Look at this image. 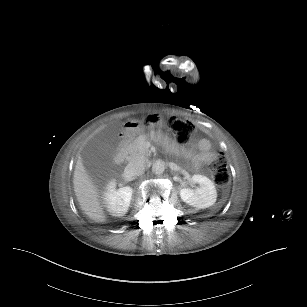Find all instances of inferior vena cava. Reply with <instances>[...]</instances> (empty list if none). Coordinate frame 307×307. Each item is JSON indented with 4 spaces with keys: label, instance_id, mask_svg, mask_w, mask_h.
Wrapping results in <instances>:
<instances>
[{
    "label": "inferior vena cava",
    "instance_id": "602c4592",
    "mask_svg": "<svg viewBox=\"0 0 307 307\" xmlns=\"http://www.w3.org/2000/svg\"><path fill=\"white\" fill-rule=\"evenodd\" d=\"M145 170V160L140 157H134L131 159L126 168H125V174L128 176H141L144 173Z\"/></svg>",
    "mask_w": 307,
    "mask_h": 307
}]
</instances>
